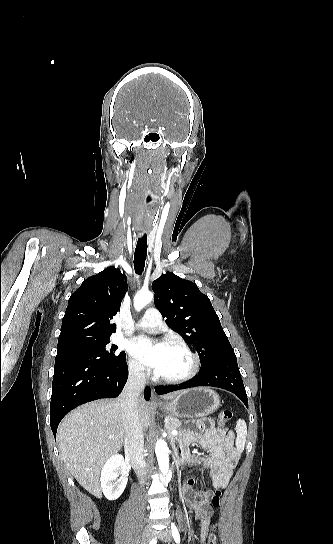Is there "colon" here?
Returning a JSON list of instances; mask_svg holds the SVG:
<instances>
[{
  "label": "colon",
  "instance_id": "colon-1",
  "mask_svg": "<svg viewBox=\"0 0 333 544\" xmlns=\"http://www.w3.org/2000/svg\"><path fill=\"white\" fill-rule=\"evenodd\" d=\"M232 418V412L230 410H223L217 419L219 426H224ZM221 491L216 489L215 493L211 498L212 506L217 508L220 504ZM216 535L214 532H211L207 538V544H216Z\"/></svg>",
  "mask_w": 333,
  "mask_h": 544
}]
</instances>
